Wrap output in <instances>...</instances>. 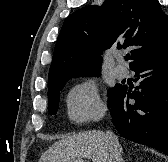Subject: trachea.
I'll return each mask as SVG.
<instances>
[{"instance_id": "obj_1", "label": "trachea", "mask_w": 168, "mask_h": 162, "mask_svg": "<svg viewBox=\"0 0 168 162\" xmlns=\"http://www.w3.org/2000/svg\"><path fill=\"white\" fill-rule=\"evenodd\" d=\"M125 60H126V61L130 60V56H128V55L125 56Z\"/></svg>"}]
</instances>
